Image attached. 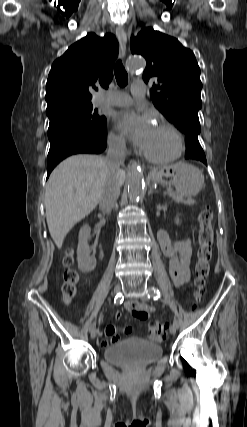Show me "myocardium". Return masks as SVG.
<instances>
[{"mask_svg": "<svg viewBox=\"0 0 247 427\" xmlns=\"http://www.w3.org/2000/svg\"><path fill=\"white\" fill-rule=\"evenodd\" d=\"M157 127L163 128L168 130L172 136L175 139V149L174 151L167 155V156H154L148 152H146L145 150H142V155L150 162L155 163V164H167V163H171L175 160H177L184 149V141H183V137L182 134L180 133V131L171 123L168 122H161L158 124Z\"/></svg>", "mask_w": 247, "mask_h": 427, "instance_id": "1", "label": "myocardium"}]
</instances>
